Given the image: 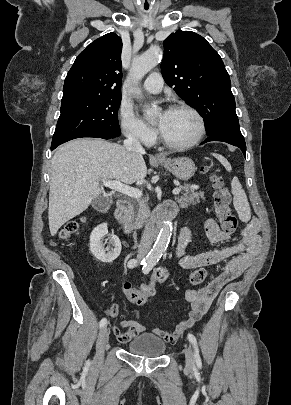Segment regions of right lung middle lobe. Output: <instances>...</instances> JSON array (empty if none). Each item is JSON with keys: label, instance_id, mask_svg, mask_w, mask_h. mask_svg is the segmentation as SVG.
<instances>
[{"label": "right lung middle lobe", "instance_id": "1", "mask_svg": "<svg viewBox=\"0 0 291 405\" xmlns=\"http://www.w3.org/2000/svg\"><path fill=\"white\" fill-rule=\"evenodd\" d=\"M120 102L121 96L62 102L51 146L89 135L120 136Z\"/></svg>", "mask_w": 291, "mask_h": 405}]
</instances>
